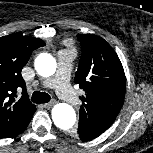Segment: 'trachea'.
<instances>
[{
    "instance_id": "1",
    "label": "trachea",
    "mask_w": 153,
    "mask_h": 153,
    "mask_svg": "<svg viewBox=\"0 0 153 153\" xmlns=\"http://www.w3.org/2000/svg\"><path fill=\"white\" fill-rule=\"evenodd\" d=\"M31 100L37 104L48 103L51 100V97L45 92L35 91L32 94Z\"/></svg>"
}]
</instances>
